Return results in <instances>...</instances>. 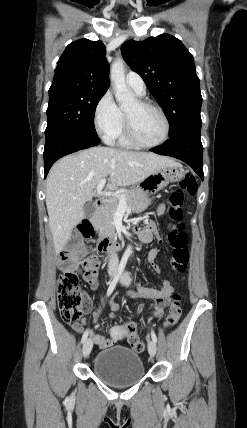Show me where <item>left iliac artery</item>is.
<instances>
[{
  "label": "left iliac artery",
  "instance_id": "obj_1",
  "mask_svg": "<svg viewBox=\"0 0 247 428\" xmlns=\"http://www.w3.org/2000/svg\"><path fill=\"white\" fill-rule=\"evenodd\" d=\"M151 337H152V340L156 343L157 342V337H156V335H155V333H154L153 330H151Z\"/></svg>",
  "mask_w": 247,
  "mask_h": 428
}]
</instances>
